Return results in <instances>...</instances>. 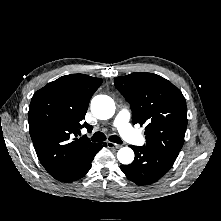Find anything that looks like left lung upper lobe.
I'll list each match as a JSON object with an SVG mask.
<instances>
[{"label": "left lung upper lobe", "mask_w": 221, "mask_h": 221, "mask_svg": "<svg viewBox=\"0 0 221 221\" xmlns=\"http://www.w3.org/2000/svg\"><path fill=\"white\" fill-rule=\"evenodd\" d=\"M114 85L130 104L133 123L146 125L145 146L177 157L187 127V107L181 91L151 73L120 76Z\"/></svg>", "instance_id": "1"}]
</instances>
